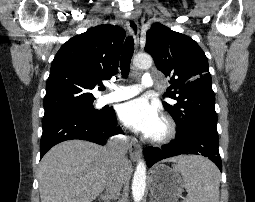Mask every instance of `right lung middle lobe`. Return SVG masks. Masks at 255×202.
<instances>
[{
	"instance_id": "1",
	"label": "right lung middle lobe",
	"mask_w": 255,
	"mask_h": 202,
	"mask_svg": "<svg viewBox=\"0 0 255 202\" xmlns=\"http://www.w3.org/2000/svg\"><path fill=\"white\" fill-rule=\"evenodd\" d=\"M56 113H81L88 115L95 119H101L105 116V112L102 110H96L93 107V103H86L81 105H76L73 107H69L63 110H59L50 114H56ZM49 115V114H46Z\"/></svg>"
}]
</instances>
